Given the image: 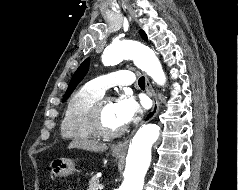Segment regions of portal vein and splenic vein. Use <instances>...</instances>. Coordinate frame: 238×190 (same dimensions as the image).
I'll return each instance as SVG.
<instances>
[{
	"mask_svg": "<svg viewBox=\"0 0 238 190\" xmlns=\"http://www.w3.org/2000/svg\"><path fill=\"white\" fill-rule=\"evenodd\" d=\"M99 189H100V190H103V189H104V185L101 184V185L99 186Z\"/></svg>",
	"mask_w": 238,
	"mask_h": 190,
	"instance_id": "18ae733b",
	"label": "portal vein and splenic vein"
}]
</instances>
